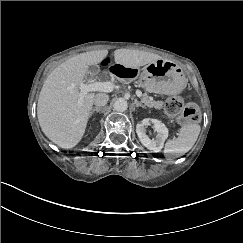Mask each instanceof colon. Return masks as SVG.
Masks as SVG:
<instances>
[{"instance_id": "5ec220e1", "label": "colon", "mask_w": 243, "mask_h": 243, "mask_svg": "<svg viewBox=\"0 0 243 243\" xmlns=\"http://www.w3.org/2000/svg\"><path fill=\"white\" fill-rule=\"evenodd\" d=\"M164 109L168 116L179 118L182 124L196 123L201 117L198 106L194 103L185 104L180 96L169 98L165 103Z\"/></svg>"}]
</instances>
